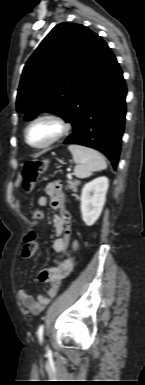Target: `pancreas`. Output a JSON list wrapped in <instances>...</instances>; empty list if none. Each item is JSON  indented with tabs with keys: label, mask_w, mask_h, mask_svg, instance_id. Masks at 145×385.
Segmentation results:
<instances>
[{
	"label": "pancreas",
	"mask_w": 145,
	"mask_h": 385,
	"mask_svg": "<svg viewBox=\"0 0 145 385\" xmlns=\"http://www.w3.org/2000/svg\"><path fill=\"white\" fill-rule=\"evenodd\" d=\"M80 184L78 180H68L67 188L72 190L73 192H77V186Z\"/></svg>",
	"instance_id": "1"
}]
</instances>
